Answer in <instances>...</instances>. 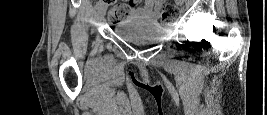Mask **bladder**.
Segmentation results:
<instances>
[{
	"label": "bladder",
	"mask_w": 267,
	"mask_h": 115,
	"mask_svg": "<svg viewBox=\"0 0 267 115\" xmlns=\"http://www.w3.org/2000/svg\"><path fill=\"white\" fill-rule=\"evenodd\" d=\"M114 33L132 43L159 41L168 35L167 29L155 21L120 23L114 27Z\"/></svg>",
	"instance_id": "obj_1"
}]
</instances>
